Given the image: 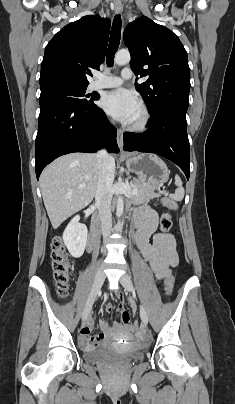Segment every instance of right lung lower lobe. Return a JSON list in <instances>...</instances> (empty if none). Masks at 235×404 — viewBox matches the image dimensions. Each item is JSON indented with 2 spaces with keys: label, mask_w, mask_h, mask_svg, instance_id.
<instances>
[{
  "label": "right lung lower lobe",
  "mask_w": 235,
  "mask_h": 404,
  "mask_svg": "<svg viewBox=\"0 0 235 404\" xmlns=\"http://www.w3.org/2000/svg\"><path fill=\"white\" fill-rule=\"evenodd\" d=\"M103 146L119 152L116 129L95 104L73 107L61 103L40 105L35 142L37 179L46 165L57 157L73 153H93Z\"/></svg>",
  "instance_id": "1"
}]
</instances>
